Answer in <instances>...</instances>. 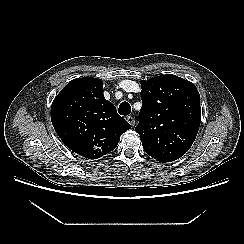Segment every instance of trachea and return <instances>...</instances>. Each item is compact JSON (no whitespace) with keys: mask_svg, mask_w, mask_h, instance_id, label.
Segmentation results:
<instances>
[{"mask_svg":"<svg viewBox=\"0 0 244 244\" xmlns=\"http://www.w3.org/2000/svg\"><path fill=\"white\" fill-rule=\"evenodd\" d=\"M118 111L120 115L123 116L129 115L131 112V106L128 102H122L119 106Z\"/></svg>","mask_w":244,"mask_h":244,"instance_id":"trachea-1","label":"trachea"}]
</instances>
